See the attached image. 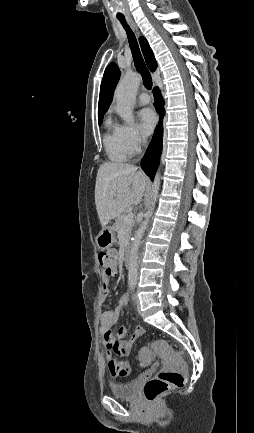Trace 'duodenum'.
<instances>
[{
  "instance_id": "410a0bca",
  "label": "duodenum",
  "mask_w": 254,
  "mask_h": 433,
  "mask_svg": "<svg viewBox=\"0 0 254 433\" xmlns=\"http://www.w3.org/2000/svg\"><path fill=\"white\" fill-rule=\"evenodd\" d=\"M130 255H131V247L129 245L125 248V254H124V267L126 269H129L131 262H130Z\"/></svg>"
}]
</instances>
